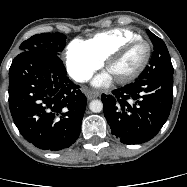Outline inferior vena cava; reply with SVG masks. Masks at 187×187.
I'll list each match as a JSON object with an SVG mask.
<instances>
[{
  "label": "inferior vena cava",
  "mask_w": 187,
  "mask_h": 187,
  "mask_svg": "<svg viewBox=\"0 0 187 187\" xmlns=\"http://www.w3.org/2000/svg\"><path fill=\"white\" fill-rule=\"evenodd\" d=\"M72 78L77 82H85L90 78V76L86 73L75 72L73 73Z\"/></svg>",
  "instance_id": "inferior-vena-cava-1"
}]
</instances>
